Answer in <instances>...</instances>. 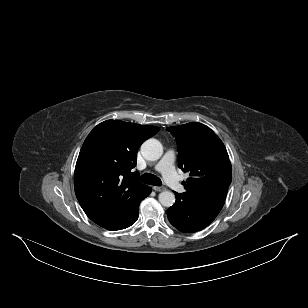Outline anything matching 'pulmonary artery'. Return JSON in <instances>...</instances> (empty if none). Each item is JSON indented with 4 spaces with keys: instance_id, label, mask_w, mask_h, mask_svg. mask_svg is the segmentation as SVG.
Here are the masks:
<instances>
[{
    "instance_id": "pulmonary-artery-1",
    "label": "pulmonary artery",
    "mask_w": 308,
    "mask_h": 308,
    "mask_svg": "<svg viewBox=\"0 0 308 308\" xmlns=\"http://www.w3.org/2000/svg\"><path fill=\"white\" fill-rule=\"evenodd\" d=\"M174 153L169 150L165 153L160 162L156 165L155 170L162 173L166 183L177 192H184V187L180 182L177 173L174 170Z\"/></svg>"
}]
</instances>
